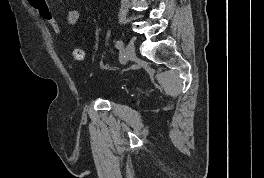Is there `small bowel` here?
I'll use <instances>...</instances> for the list:
<instances>
[{
  "label": "small bowel",
  "mask_w": 264,
  "mask_h": 178,
  "mask_svg": "<svg viewBox=\"0 0 264 178\" xmlns=\"http://www.w3.org/2000/svg\"><path fill=\"white\" fill-rule=\"evenodd\" d=\"M80 19V12L76 8H72L68 11L67 17H66V22L69 26H73L77 24V22Z\"/></svg>",
  "instance_id": "1"
}]
</instances>
